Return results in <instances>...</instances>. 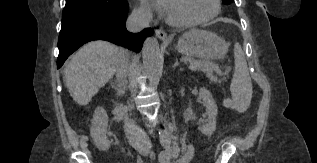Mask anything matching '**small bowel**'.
Segmentation results:
<instances>
[{
    "mask_svg": "<svg viewBox=\"0 0 317 163\" xmlns=\"http://www.w3.org/2000/svg\"><path fill=\"white\" fill-rule=\"evenodd\" d=\"M180 152V156L177 160H174L173 163H189L194 156V147L191 143L187 142L183 145L182 148H179L177 145H174L168 151L161 153L159 163H170L171 159L176 157ZM137 163H142L138 161Z\"/></svg>",
    "mask_w": 317,
    "mask_h": 163,
    "instance_id": "obj_1",
    "label": "small bowel"
}]
</instances>
